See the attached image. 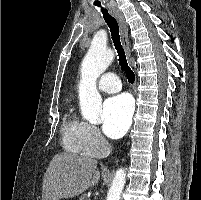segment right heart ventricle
Segmentation results:
<instances>
[{"label":"right heart ventricle","instance_id":"obj_1","mask_svg":"<svg viewBox=\"0 0 201 200\" xmlns=\"http://www.w3.org/2000/svg\"><path fill=\"white\" fill-rule=\"evenodd\" d=\"M61 132L62 144L67 151L75 154H87L82 135V122L70 110L65 115Z\"/></svg>","mask_w":201,"mask_h":200}]
</instances>
